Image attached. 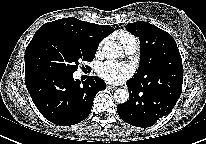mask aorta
Listing matches in <instances>:
<instances>
[{"label": "aorta", "instance_id": "762f6f07", "mask_svg": "<svg viewBox=\"0 0 206 144\" xmlns=\"http://www.w3.org/2000/svg\"><path fill=\"white\" fill-rule=\"evenodd\" d=\"M104 55L107 58L115 59L118 58L121 54V47L114 41L107 40L102 48ZM129 98V93L125 89H117L114 92V99L117 103L123 104L127 102Z\"/></svg>", "mask_w": 206, "mask_h": 144}]
</instances>
